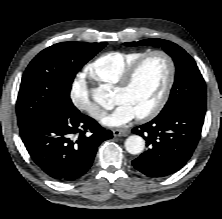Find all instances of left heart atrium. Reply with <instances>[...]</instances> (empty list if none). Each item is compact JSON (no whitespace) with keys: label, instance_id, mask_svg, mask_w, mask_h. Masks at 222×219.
I'll list each match as a JSON object with an SVG mask.
<instances>
[{"label":"left heart atrium","instance_id":"obj_1","mask_svg":"<svg viewBox=\"0 0 222 219\" xmlns=\"http://www.w3.org/2000/svg\"><path fill=\"white\" fill-rule=\"evenodd\" d=\"M136 117L137 114L130 105L119 103L110 114L102 119V124L108 127H122Z\"/></svg>","mask_w":222,"mask_h":219}]
</instances>
